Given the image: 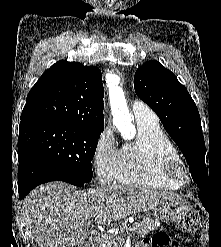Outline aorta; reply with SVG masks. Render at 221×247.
Listing matches in <instances>:
<instances>
[{
  "mask_svg": "<svg viewBox=\"0 0 221 247\" xmlns=\"http://www.w3.org/2000/svg\"><path fill=\"white\" fill-rule=\"evenodd\" d=\"M106 83L114 123L121 133H129L133 136L135 134V127L132 123L133 117L129 113L124 92L119 86L120 77L115 74L108 75Z\"/></svg>",
  "mask_w": 221,
  "mask_h": 247,
  "instance_id": "1",
  "label": "aorta"
}]
</instances>
